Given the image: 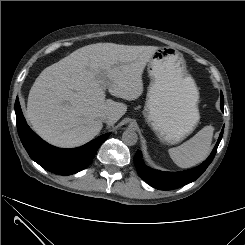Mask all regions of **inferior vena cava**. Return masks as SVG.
Listing matches in <instances>:
<instances>
[{"label": "inferior vena cava", "mask_w": 245, "mask_h": 245, "mask_svg": "<svg viewBox=\"0 0 245 245\" xmlns=\"http://www.w3.org/2000/svg\"><path fill=\"white\" fill-rule=\"evenodd\" d=\"M102 122H108L109 118L107 116H103L101 119H100Z\"/></svg>", "instance_id": "602c4592"}]
</instances>
